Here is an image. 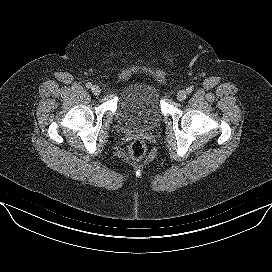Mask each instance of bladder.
<instances>
[{"label": "bladder", "instance_id": "bladder-1", "mask_svg": "<svg viewBox=\"0 0 272 272\" xmlns=\"http://www.w3.org/2000/svg\"><path fill=\"white\" fill-rule=\"evenodd\" d=\"M159 87L148 80H135L122 92L116 124L122 130H149L162 119Z\"/></svg>", "mask_w": 272, "mask_h": 272}]
</instances>
